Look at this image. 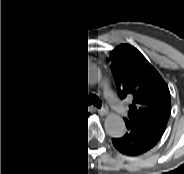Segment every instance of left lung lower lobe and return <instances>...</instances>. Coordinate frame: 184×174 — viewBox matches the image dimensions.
Masks as SVG:
<instances>
[{
  "instance_id": "left-lung-lower-lobe-1",
  "label": "left lung lower lobe",
  "mask_w": 184,
  "mask_h": 174,
  "mask_svg": "<svg viewBox=\"0 0 184 174\" xmlns=\"http://www.w3.org/2000/svg\"><path fill=\"white\" fill-rule=\"evenodd\" d=\"M124 136L113 138V145L125 154H141L151 149L162 135L127 126Z\"/></svg>"
}]
</instances>
